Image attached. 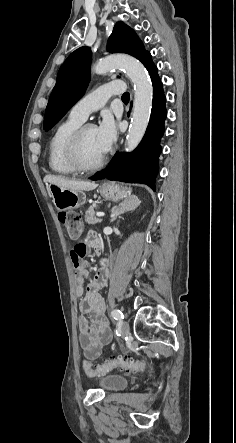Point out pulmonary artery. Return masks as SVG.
Here are the masks:
<instances>
[{
	"instance_id": "obj_1",
	"label": "pulmonary artery",
	"mask_w": 236,
	"mask_h": 443,
	"mask_svg": "<svg viewBox=\"0 0 236 443\" xmlns=\"http://www.w3.org/2000/svg\"><path fill=\"white\" fill-rule=\"evenodd\" d=\"M124 91L122 81H112L104 84L81 98L70 110V116L85 121L89 114L101 108L107 99Z\"/></svg>"
}]
</instances>
